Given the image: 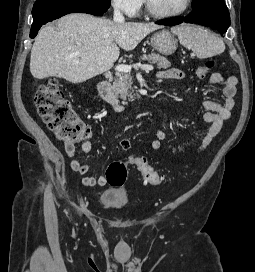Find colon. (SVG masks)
<instances>
[{
  "instance_id": "1",
  "label": "colon",
  "mask_w": 255,
  "mask_h": 272,
  "mask_svg": "<svg viewBox=\"0 0 255 272\" xmlns=\"http://www.w3.org/2000/svg\"><path fill=\"white\" fill-rule=\"evenodd\" d=\"M213 66L212 60L207 61L196 69L197 76L204 78ZM34 102L44 123L65 147H74L90 136L89 126L77 117L56 80L41 85L35 93ZM132 162L148 184H162V176L153 169L146 157H134ZM106 178L110 185L121 186L127 178L126 165L120 161L110 163Z\"/></svg>"
}]
</instances>
